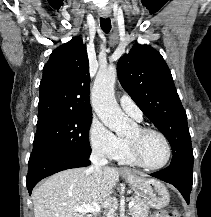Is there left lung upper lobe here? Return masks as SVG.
I'll list each match as a JSON object with an SVG mask.
<instances>
[{"instance_id":"left-lung-upper-lobe-1","label":"left lung upper lobe","mask_w":211,"mask_h":217,"mask_svg":"<svg viewBox=\"0 0 211 217\" xmlns=\"http://www.w3.org/2000/svg\"><path fill=\"white\" fill-rule=\"evenodd\" d=\"M119 81L142 112L168 139L170 165L193 166L187 115L162 55L148 45L136 44L117 65Z\"/></svg>"}]
</instances>
